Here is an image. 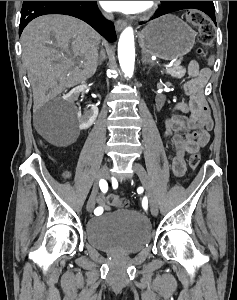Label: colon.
<instances>
[{"label":"colon","instance_id":"5ec220e1","mask_svg":"<svg viewBox=\"0 0 237 300\" xmlns=\"http://www.w3.org/2000/svg\"><path fill=\"white\" fill-rule=\"evenodd\" d=\"M187 21L198 28L199 41L202 45V52L207 51L213 44L215 39V25L210 18L206 16L204 12L198 9H190L186 12ZM200 162L199 152H194L189 159V165L192 169H196ZM110 202L115 207H126L128 202L126 199L118 194H114L110 197Z\"/></svg>","mask_w":237,"mask_h":300}]
</instances>
